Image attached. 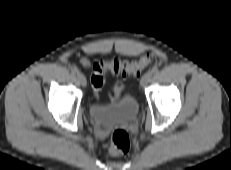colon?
Instances as JSON below:
<instances>
[{"instance_id":"obj_1","label":"colon","mask_w":231,"mask_h":170,"mask_svg":"<svg viewBox=\"0 0 231 170\" xmlns=\"http://www.w3.org/2000/svg\"><path fill=\"white\" fill-rule=\"evenodd\" d=\"M151 62L150 55H144L137 60H122L114 58L109 61H98L93 65L91 75V85L95 95H98L104 84V75L110 71L113 74L121 77L129 75H139ZM123 88L122 81H117L112 91L109 93L111 100H116ZM130 147V138L124 129H117L111 136L108 151L112 155L126 153Z\"/></svg>"}]
</instances>
